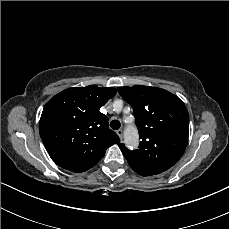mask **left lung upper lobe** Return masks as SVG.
Segmentation results:
<instances>
[{
  "mask_svg": "<svg viewBox=\"0 0 229 229\" xmlns=\"http://www.w3.org/2000/svg\"><path fill=\"white\" fill-rule=\"evenodd\" d=\"M134 111L139 130V149L119 147L131 168L142 176L162 173L183 155L188 142L189 114L174 94L156 87H118Z\"/></svg>",
  "mask_w": 229,
  "mask_h": 229,
  "instance_id": "5c2ea615",
  "label": "left lung upper lobe"
}]
</instances>
